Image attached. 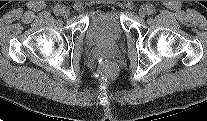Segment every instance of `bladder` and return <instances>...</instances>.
<instances>
[{
    "mask_svg": "<svg viewBox=\"0 0 207 121\" xmlns=\"http://www.w3.org/2000/svg\"><path fill=\"white\" fill-rule=\"evenodd\" d=\"M124 36L121 13L117 8L98 9L91 13L86 29L90 44L113 45Z\"/></svg>",
    "mask_w": 207,
    "mask_h": 121,
    "instance_id": "bladder-1",
    "label": "bladder"
}]
</instances>
